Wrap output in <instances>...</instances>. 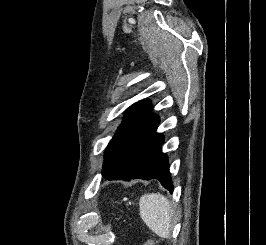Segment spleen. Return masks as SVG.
Segmentation results:
<instances>
[{
  "mask_svg": "<svg viewBox=\"0 0 266 245\" xmlns=\"http://www.w3.org/2000/svg\"><path fill=\"white\" fill-rule=\"evenodd\" d=\"M140 217L145 225L162 239H169L174 217L171 205L160 193H146L139 201Z\"/></svg>",
  "mask_w": 266,
  "mask_h": 245,
  "instance_id": "3e777b00",
  "label": "spleen"
}]
</instances>
